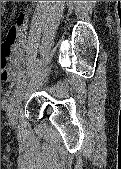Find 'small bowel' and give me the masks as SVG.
Returning <instances> with one entry per match:
<instances>
[{"mask_svg": "<svg viewBox=\"0 0 121 169\" xmlns=\"http://www.w3.org/2000/svg\"><path fill=\"white\" fill-rule=\"evenodd\" d=\"M8 2L19 1H1L2 4ZM2 12H5L4 6ZM27 23V14H20L17 17L16 25L8 30L6 40L1 46V79L3 81L16 80L23 73V67L27 62Z\"/></svg>", "mask_w": 121, "mask_h": 169, "instance_id": "small-bowel-1", "label": "small bowel"}]
</instances>
